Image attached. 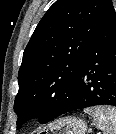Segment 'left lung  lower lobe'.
I'll list each match as a JSON object with an SVG mask.
<instances>
[{
    "instance_id": "1",
    "label": "left lung lower lobe",
    "mask_w": 116,
    "mask_h": 134,
    "mask_svg": "<svg viewBox=\"0 0 116 134\" xmlns=\"http://www.w3.org/2000/svg\"><path fill=\"white\" fill-rule=\"evenodd\" d=\"M75 84L71 97L57 109L51 120L86 107L116 106V13L114 9L93 40L81 64Z\"/></svg>"
}]
</instances>
